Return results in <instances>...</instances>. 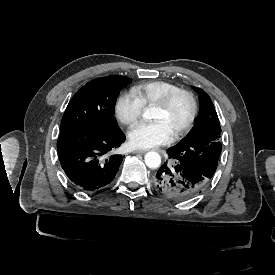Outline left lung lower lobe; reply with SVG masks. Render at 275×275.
<instances>
[{"instance_id":"1","label":"left lung lower lobe","mask_w":275,"mask_h":275,"mask_svg":"<svg viewBox=\"0 0 275 275\" xmlns=\"http://www.w3.org/2000/svg\"><path fill=\"white\" fill-rule=\"evenodd\" d=\"M174 163L161 165L153 180L155 188L167 198L175 201L193 198L209 186L211 178L178 160Z\"/></svg>"}]
</instances>
